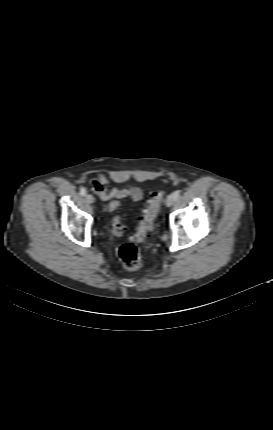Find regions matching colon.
I'll use <instances>...</instances> for the list:
<instances>
[{
    "instance_id": "5ec220e1",
    "label": "colon",
    "mask_w": 273,
    "mask_h": 430,
    "mask_svg": "<svg viewBox=\"0 0 273 430\" xmlns=\"http://www.w3.org/2000/svg\"><path fill=\"white\" fill-rule=\"evenodd\" d=\"M164 197V192L152 193L147 208L143 211L142 215L137 221L136 232L132 241L123 243L119 250L118 256L121 263L130 270L139 269L142 265L141 255L135 242L144 241L154 229V221L158 216L160 206ZM120 206L118 201H112L108 205L109 211H114ZM113 231L116 235L121 236L124 232V226L121 223V217L116 215L112 219Z\"/></svg>"
}]
</instances>
